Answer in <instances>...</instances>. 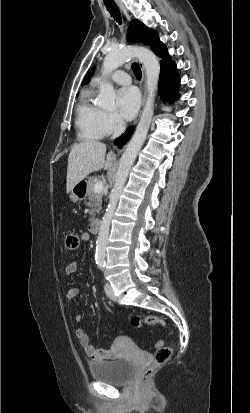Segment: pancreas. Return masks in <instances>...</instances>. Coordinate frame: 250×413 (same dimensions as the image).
<instances>
[{
  "instance_id": "pancreas-1",
  "label": "pancreas",
  "mask_w": 250,
  "mask_h": 413,
  "mask_svg": "<svg viewBox=\"0 0 250 413\" xmlns=\"http://www.w3.org/2000/svg\"><path fill=\"white\" fill-rule=\"evenodd\" d=\"M97 179L95 177H90L87 184V206L91 208L90 221H94L95 213H99L101 210V203L103 192L96 193L94 192V184L96 183Z\"/></svg>"
}]
</instances>
